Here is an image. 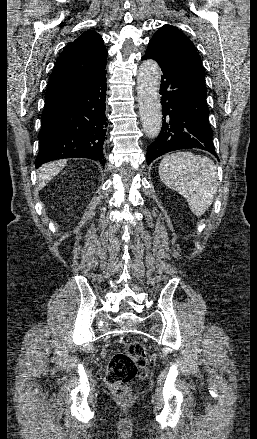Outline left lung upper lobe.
<instances>
[{
	"label": "left lung upper lobe",
	"mask_w": 257,
	"mask_h": 439,
	"mask_svg": "<svg viewBox=\"0 0 257 439\" xmlns=\"http://www.w3.org/2000/svg\"><path fill=\"white\" fill-rule=\"evenodd\" d=\"M158 53L186 69L201 84H204V70L193 42L179 29L171 25L161 27L149 41Z\"/></svg>",
	"instance_id": "left-lung-upper-lobe-1"
}]
</instances>
